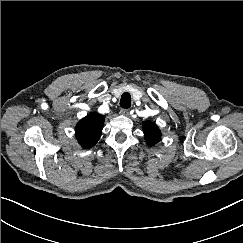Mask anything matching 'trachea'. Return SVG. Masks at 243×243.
<instances>
[{"label":"trachea","instance_id":"trachea-1","mask_svg":"<svg viewBox=\"0 0 243 243\" xmlns=\"http://www.w3.org/2000/svg\"><path fill=\"white\" fill-rule=\"evenodd\" d=\"M120 106L122 108H130L131 107V96L128 92H125L121 96Z\"/></svg>","mask_w":243,"mask_h":243}]
</instances>
